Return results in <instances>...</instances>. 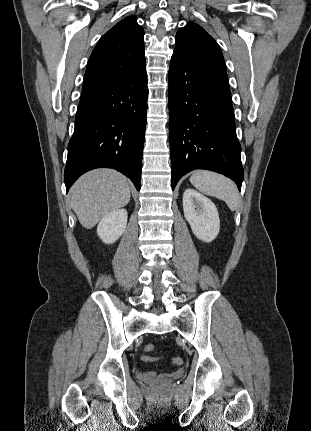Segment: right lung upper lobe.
I'll return each mask as SVG.
<instances>
[{
	"mask_svg": "<svg viewBox=\"0 0 311 431\" xmlns=\"http://www.w3.org/2000/svg\"><path fill=\"white\" fill-rule=\"evenodd\" d=\"M143 36L135 16L124 18L110 29L90 56L82 92L133 78L145 68Z\"/></svg>",
	"mask_w": 311,
	"mask_h": 431,
	"instance_id": "obj_1",
	"label": "right lung upper lobe"
}]
</instances>
